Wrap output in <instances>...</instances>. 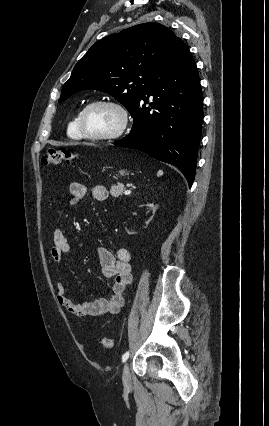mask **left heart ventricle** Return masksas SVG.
<instances>
[{
  "label": "left heart ventricle",
  "instance_id": "obj_1",
  "mask_svg": "<svg viewBox=\"0 0 269 426\" xmlns=\"http://www.w3.org/2000/svg\"><path fill=\"white\" fill-rule=\"evenodd\" d=\"M119 114L107 106H95L88 110L85 116L87 130L93 134L112 132L119 125Z\"/></svg>",
  "mask_w": 269,
  "mask_h": 426
}]
</instances>
